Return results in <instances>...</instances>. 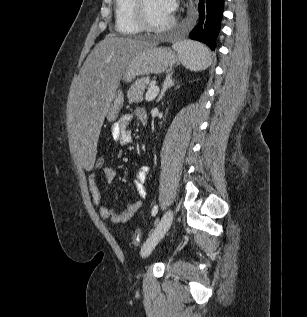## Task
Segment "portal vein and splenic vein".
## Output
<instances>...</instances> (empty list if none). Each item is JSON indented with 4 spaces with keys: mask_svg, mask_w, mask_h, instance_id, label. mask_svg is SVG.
Here are the masks:
<instances>
[{
    "mask_svg": "<svg viewBox=\"0 0 307 317\" xmlns=\"http://www.w3.org/2000/svg\"><path fill=\"white\" fill-rule=\"evenodd\" d=\"M159 87L155 84H150V87L148 88V91L145 94L146 101H152L158 94Z\"/></svg>",
    "mask_w": 307,
    "mask_h": 317,
    "instance_id": "portal-vein-and-splenic-vein-1",
    "label": "portal vein and splenic vein"
}]
</instances>
